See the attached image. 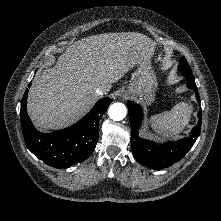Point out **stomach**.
I'll use <instances>...</instances> for the list:
<instances>
[{"label":"stomach","mask_w":221,"mask_h":221,"mask_svg":"<svg viewBox=\"0 0 221 221\" xmlns=\"http://www.w3.org/2000/svg\"><path fill=\"white\" fill-rule=\"evenodd\" d=\"M152 53L154 54V51ZM157 86L158 83L151 64H140L124 90V95L131 98L144 99L149 104L154 100Z\"/></svg>","instance_id":"0dacf381"}]
</instances>
